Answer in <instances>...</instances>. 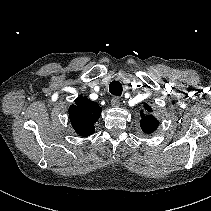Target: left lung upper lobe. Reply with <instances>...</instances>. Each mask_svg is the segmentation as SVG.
<instances>
[{
    "label": "left lung upper lobe",
    "instance_id": "obj_1",
    "mask_svg": "<svg viewBox=\"0 0 211 211\" xmlns=\"http://www.w3.org/2000/svg\"><path fill=\"white\" fill-rule=\"evenodd\" d=\"M145 111L148 113L152 112V108L150 105L145 104L144 105ZM159 125V122L156 118H154L151 115H144L142 114V119L140 121V126L143 130V132L147 133V134H151L153 133L157 127Z\"/></svg>",
    "mask_w": 211,
    "mask_h": 211
}]
</instances>
